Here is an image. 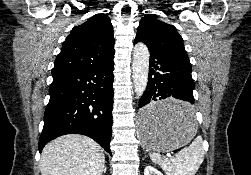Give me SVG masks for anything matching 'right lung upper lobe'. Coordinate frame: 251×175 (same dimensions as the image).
<instances>
[{
	"label": "right lung upper lobe",
	"mask_w": 251,
	"mask_h": 175,
	"mask_svg": "<svg viewBox=\"0 0 251 175\" xmlns=\"http://www.w3.org/2000/svg\"><path fill=\"white\" fill-rule=\"evenodd\" d=\"M114 43L108 15H93L72 29L55 59L52 76L108 64L114 57Z\"/></svg>",
	"instance_id": "1"
}]
</instances>
